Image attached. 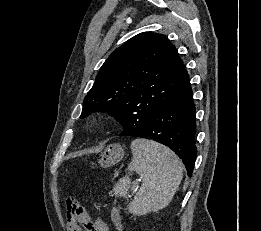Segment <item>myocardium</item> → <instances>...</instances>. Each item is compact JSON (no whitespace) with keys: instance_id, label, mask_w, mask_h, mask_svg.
<instances>
[{"instance_id":"1","label":"myocardium","mask_w":261,"mask_h":231,"mask_svg":"<svg viewBox=\"0 0 261 231\" xmlns=\"http://www.w3.org/2000/svg\"><path fill=\"white\" fill-rule=\"evenodd\" d=\"M98 122H99V117L94 116V117L90 118V120H89V122H88V125H89L90 127H93V126L97 125Z\"/></svg>"}]
</instances>
